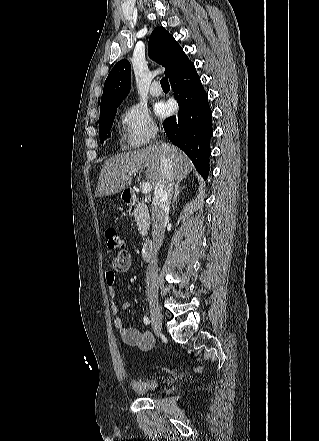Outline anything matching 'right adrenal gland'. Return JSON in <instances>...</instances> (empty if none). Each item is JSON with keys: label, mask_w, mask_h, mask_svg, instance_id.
Returning a JSON list of instances; mask_svg holds the SVG:
<instances>
[{"label": "right adrenal gland", "mask_w": 319, "mask_h": 441, "mask_svg": "<svg viewBox=\"0 0 319 441\" xmlns=\"http://www.w3.org/2000/svg\"><path fill=\"white\" fill-rule=\"evenodd\" d=\"M180 183L177 182L174 190V196L171 202L172 207L174 206L175 202L177 201L178 195L182 192V188L179 187Z\"/></svg>", "instance_id": "right-adrenal-gland-1"}]
</instances>
